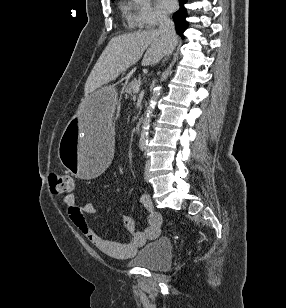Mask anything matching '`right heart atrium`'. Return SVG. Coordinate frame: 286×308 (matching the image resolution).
I'll return each instance as SVG.
<instances>
[{
  "label": "right heart atrium",
  "mask_w": 286,
  "mask_h": 308,
  "mask_svg": "<svg viewBox=\"0 0 286 308\" xmlns=\"http://www.w3.org/2000/svg\"><path fill=\"white\" fill-rule=\"evenodd\" d=\"M131 22L139 29H152L167 20L165 14L157 10L151 0H138L129 2Z\"/></svg>",
  "instance_id": "right-heart-atrium-1"
}]
</instances>
